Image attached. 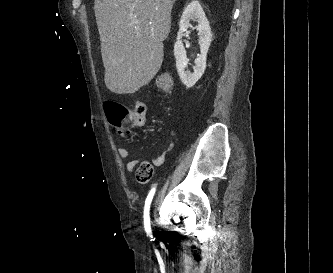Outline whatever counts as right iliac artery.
Here are the masks:
<instances>
[{
  "label": "right iliac artery",
  "mask_w": 333,
  "mask_h": 273,
  "mask_svg": "<svg viewBox=\"0 0 333 273\" xmlns=\"http://www.w3.org/2000/svg\"><path fill=\"white\" fill-rule=\"evenodd\" d=\"M155 191H156V188L153 187L146 200H145V206H144V215H143V218H144V228H145V231L147 233V236H149L150 238H152V230H151V225H150V205H151V202H152V199H153V196L155 194Z\"/></svg>",
  "instance_id": "82829eb1"
}]
</instances>
